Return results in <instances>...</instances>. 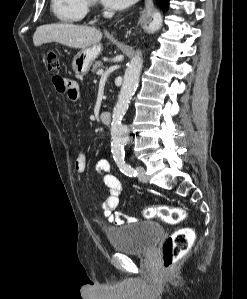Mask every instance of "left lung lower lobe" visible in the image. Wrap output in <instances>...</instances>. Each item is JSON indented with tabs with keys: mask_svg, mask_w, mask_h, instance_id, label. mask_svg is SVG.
<instances>
[{
	"mask_svg": "<svg viewBox=\"0 0 247 299\" xmlns=\"http://www.w3.org/2000/svg\"><path fill=\"white\" fill-rule=\"evenodd\" d=\"M168 2L169 0H157L158 5L164 10L168 8Z\"/></svg>",
	"mask_w": 247,
	"mask_h": 299,
	"instance_id": "1",
	"label": "left lung lower lobe"
}]
</instances>
